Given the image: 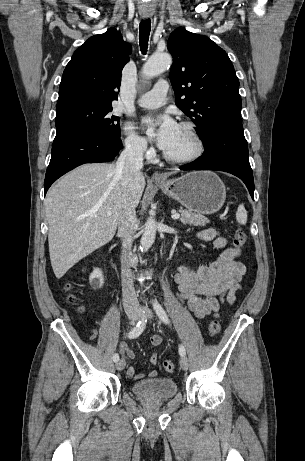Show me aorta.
I'll use <instances>...</instances> for the list:
<instances>
[{"instance_id": "1", "label": "aorta", "mask_w": 305, "mask_h": 461, "mask_svg": "<svg viewBox=\"0 0 305 461\" xmlns=\"http://www.w3.org/2000/svg\"><path fill=\"white\" fill-rule=\"evenodd\" d=\"M172 58L167 53L153 54L142 68V75L145 78H153L170 67ZM156 221L149 217L143 229V235L140 241V249L147 251L155 241Z\"/></svg>"}]
</instances>
